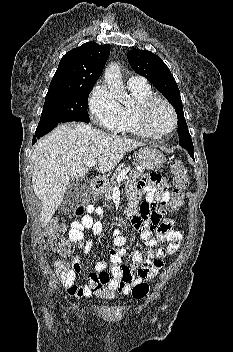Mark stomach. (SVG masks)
Returning a JSON list of instances; mask_svg holds the SVG:
<instances>
[{
	"instance_id": "0dacf381",
	"label": "stomach",
	"mask_w": 233,
	"mask_h": 352,
	"mask_svg": "<svg viewBox=\"0 0 233 352\" xmlns=\"http://www.w3.org/2000/svg\"><path fill=\"white\" fill-rule=\"evenodd\" d=\"M137 159L141 167L146 169H157L165 162L163 154L157 149L151 147L139 150L137 153Z\"/></svg>"
}]
</instances>
